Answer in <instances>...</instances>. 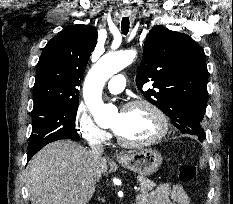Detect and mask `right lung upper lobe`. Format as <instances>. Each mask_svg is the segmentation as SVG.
<instances>
[{
	"label": "right lung upper lobe",
	"instance_id": "1",
	"mask_svg": "<svg viewBox=\"0 0 233 204\" xmlns=\"http://www.w3.org/2000/svg\"><path fill=\"white\" fill-rule=\"evenodd\" d=\"M96 43L91 25L70 26L47 43L36 66L33 109L79 101L77 86Z\"/></svg>",
	"mask_w": 233,
	"mask_h": 204
}]
</instances>
